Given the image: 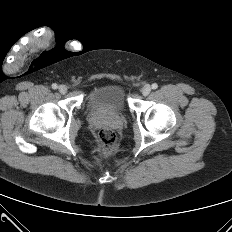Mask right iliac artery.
Returning <instances> with one entry per match:
<instances>
[{
  "instance_id": "1",
  "label": "right iliac artery",
  "mask_w": 232,
  "mask_h": 232,
  "mask_svg": "<svg viewBox=\"0 0 232 232\" xmlns=\"http://www.w3.org/2000/svg\"><path fill=\"white\" fill-rule=\"evenodd\" d=\"M52 88L53 89H57L58 88V85L56 83L52 84Z\"/></svg>"
}]
</instances>
